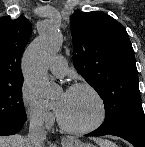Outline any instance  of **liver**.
<instances>
[{
  "label": "liver",
  "instance_id": "obj_1",
  "mask_svg": "<svg viewBox=\"0 0 145 147\" xmlns=\"http://www.w3.org/2000/svg\"><path fill=\"white\" fill-rule=\"evenodd\" d=\"M101 147L108 144L109 141L96 140ZM0 147H26L25 138L20 135L0 136ZM116 147V145L114 146Z\"/></svg>",
  "mask_w": 145,
  "mask_h": 147
}]
</instances>
